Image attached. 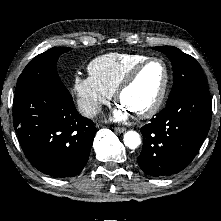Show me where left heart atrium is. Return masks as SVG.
<instances>
[{"instance_id":"39dd6f15","label":"left heart atrium","mask_w":221,"mask_h":221,"mask_svg":"<svg viewBox=\"0 0 221 221\" xmlns=\"http://www.w3.org/2000/svg\"><path fill=\"white\" fill-rule=\"evenodd\" d=\"M130 112L123 107L122 105H118V108L113 113V119L115 121H124L128 118Z\"/></svg>"}]
</instances>
